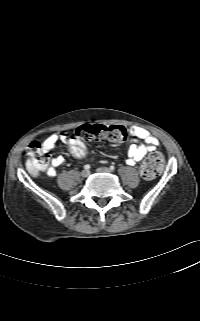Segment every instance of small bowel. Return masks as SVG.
I'll use <instances>...</instances> for the list:
<instances>
[{"label": "small bowel", "instance_id": "c3829d8e", "mask_svg": "<svg viewBox=\"0 0 200 321\" xmlns=\"http://www.w3.org/2000/svg\"><path fill=\"white\" fill-rule=\"evenodd\" d=\"M130 134L133 139L127 150L126 162L129 165H134L140 162L148 152L154 151L159 145V140L147 129L139 126L131 127ZM67 137L69 136L64 132L53 133L43 141L42 146L44 150L48 152L52 150L58 142L64 143ZM139 140H141L142 143H139ZM64 161L63 156H54L50 160V165L46 166L43 170H45L49 177H54L57 173L56 168L62 165Z\"/></svg>", "mask_w": 200, "mask_h": 321}]
</instances>
